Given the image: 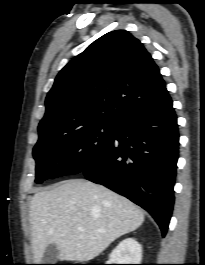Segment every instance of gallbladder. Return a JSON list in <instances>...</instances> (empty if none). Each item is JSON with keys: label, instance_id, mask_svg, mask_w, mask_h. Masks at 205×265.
Returning a JSON list of instances; mask_svg holds the SVG:
<instances>
[{"label": "gallbladder", "instance_id": "bac80fb5", "mask_svg": "<svg viewBox=\"0 0 205 265\" xmlns=\"http://www.w3.org/2000/svg\"><path fill=\"white\" fill-rule=\"evenodd\" d=\"M59 257V250L55 244H49L43 254V264H54Z\"/></svg>", "mask_w": 205, "mask_h": 265}]
</instances>
